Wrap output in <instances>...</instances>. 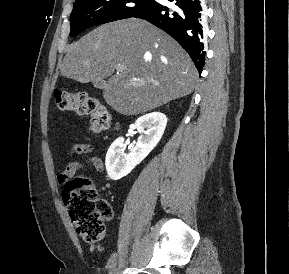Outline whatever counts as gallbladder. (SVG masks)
Here are the masks:
<instances>
[{"label":"gallbladder","mask_w":289,"mask_h":274,"mask_svg":"<svg viewBox=\"0 0 289 274\" xmlns=\"http://www.w3.org/2000/svg\"><path fill=\"white\" fill-rule=\"evenodd\" d=\"M94 87H96V88H98V89H103V87H104V82L94 83Z\"/></svg>","instance_id":"gallbladder-1"}]
</instances>
